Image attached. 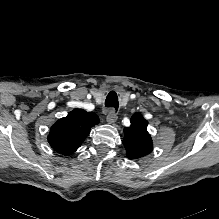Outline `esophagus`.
Segmentation results:
<instances>
[{"label": "esophagus", "mask_w": 219, "mask_h": 219, "mask_svg": "<svg viewBox=\"0 0 219 219\" xmlns=\"http://www.w3.org/2000/svg\"><path fill=\"white\" fill-rule=\"evenodd\" d=\"M106 119L109 124H114L117 121V114L114 109H108Z\"/></svg>", "instance_id": "34e87169"}]
</instances>
